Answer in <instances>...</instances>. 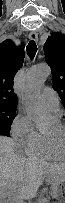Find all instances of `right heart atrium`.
<instances>
[{
	"instance_id": "d8ad5b80",
	"label": "right heart atrium",
	"mask_w": 65,
	"mask_h": 203,
	"mask_svg": "<svg viewBox=\"0 0 65 203\" xmlns=\"http://www.w3.org/2000/svg\"><path fill=\"white\" fill-rule=\"evenodd\" d=\"M11 135L17 148L27 152L37 142L39 132L30 115L21 112L11 126Z\"/></svg>"
}]
</instances>
